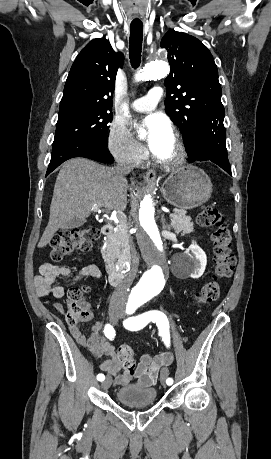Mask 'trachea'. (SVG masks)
<instances>
[{
	"mask_svg": "<svg viewBox=\"0 0 271 459\" xmlns=\"http://www.w3.org/2000/svg\"><path fill=\"white\" fill-rule=\"evenodd\" d=\"M143 41V24L130 25V46L129 55L130 62L134 69L139 67L141 62V50Z\"/></svg>",
	"mask_w": 271,
	"mask_h": 459,
	"instance_id": "3493384b",
	"label": "trachea"
}]
</instances>
